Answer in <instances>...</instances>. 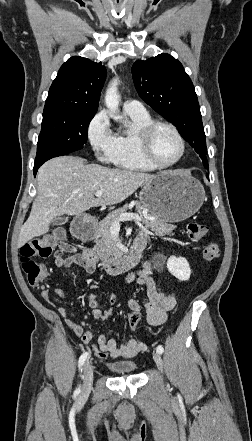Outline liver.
Instances as JSON below:
<instances>
[{
  "label": "liver",
  "mask_w": 252,
  "mask_h": 441,
  "mask_svg": "<svg viewBox=\"0 0 252 441\" xmlns=\"http://www.w3.org/2000/svg\"><path fill=\"white\" fill-rule=\"evenodd\" d=\"M155 175L85 164L80 157L61 156L44 163L37 174V196L21 228L18 247L49 231L61 215H80L97 206L121 203ZM103 191L99 197L96 191Z\"/></svg>",
  "instance_id": "6515ba94"
}]
</instances>
